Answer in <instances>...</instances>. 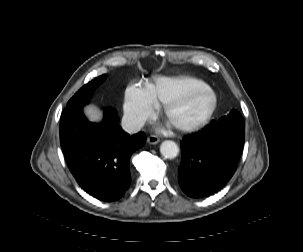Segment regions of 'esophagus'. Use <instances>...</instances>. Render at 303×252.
<instances>
[{"instance_id": "esophagus-1", "label": "esophagus", "mask_w": 303, "mask_h": 252, "mask_svg": "<svg viewBox=\"0 0 303 252\" xmlns=\"http://www.w3.org/2000/svg\"><path fill=\"white\" fill-rule=\"evenodd\" d=\"M147 142H148L149 144H157V143L160 142V139H159L157 136H155V135H150V136H148V138H147Z\"/></svg>"}]
</instances>
